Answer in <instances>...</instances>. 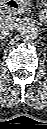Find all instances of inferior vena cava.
Masks as SVG:
<instances>
[{
  "instance_id": "602c4592",
  "label": "inferior vena cava",
  "mask_w": 47,
  "mask_h": 129,
  "mask_svg": "<svg viewBox=\"0 0 47 129\" xmlns=\"http://www.w3.org/2000/svg\"><path fill=\"white\" fill-rule=\"evenodd\" d=\"M17 21L16 17L4 16L1 18L0 28L3 31L12 30L17 25Z\"/></svg>"
}]
</instances>
